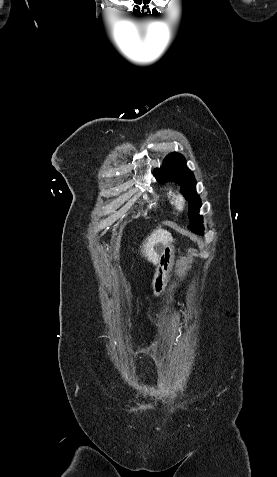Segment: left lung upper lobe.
<instances>
[{"mask_svg":"<svg viewBox=\"0 0 277 477\" xmlns=\"http://www.w3.org/2000/svg\"><path fill=\"white\" fill-rule=\"evenodd\" d=\"M159 182L173 181L181 186V193L189 203V229L203 235V218L199 215L201 200L196 192V180L191 170L186 166V160L179 153L169 154L161 168L154 170Z\"/></svg>","mask_w":277,"mask_h":477,"instance_id":"left-lung-upper-lobe-1","label":"left lung upper lobe"}]
</instances>
